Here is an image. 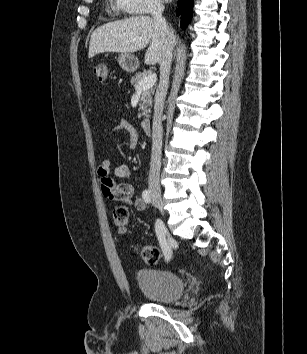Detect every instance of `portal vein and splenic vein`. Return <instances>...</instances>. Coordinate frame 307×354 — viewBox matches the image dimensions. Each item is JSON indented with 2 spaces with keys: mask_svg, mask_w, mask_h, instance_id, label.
Returning a JSON list of instances; mask_svg holds the SVG:
<instances>
[{
  "mask_svg": "<svg viewBox=\"0 0 307 354\" xmlns=\"http://www.w3.org/2000/svg\"><path fill=\"white\" fill-rule=\"evenodd\" d=\"M156 80H157L156 74L149 75L139 82V85L136 88V90L137 91H144L149 88H152L153 85L155 84Z\"/></svg>",
  "mask_w": 307,
  "mask_h": 354,
  "instance_id": "18ae733b",
  "label": "portal vein and splenic vein"
}]
</instances>
